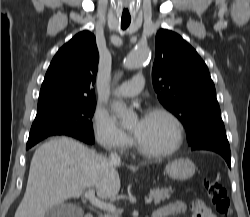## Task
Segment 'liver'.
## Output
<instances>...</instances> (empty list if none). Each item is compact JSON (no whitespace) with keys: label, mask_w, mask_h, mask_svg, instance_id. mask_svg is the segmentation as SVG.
<instances>
[{"label":"liver","mask_w":250,"mask_h":217,"mask_svg":"<svg viewBox=\"0 0 250 217\" xmlns=\"http://www.w3.org/2000/svg\"><path fill=\"white\" fill-rule=\"evenodd\" d=\"M119 166L73 139L47 141L34 152L15 217H45L51 207L79 198L85 188H95L101 199L113 198L121 186Z\"/></svg>","instance_id":"obj_1"}]
</instances>
